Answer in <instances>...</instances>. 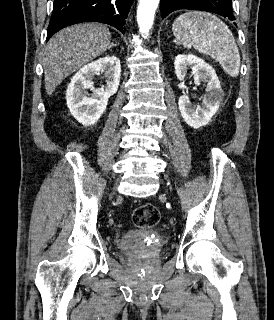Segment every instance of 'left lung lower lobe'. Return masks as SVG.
I'll use <instances>...</instances> for the list:
<instances>
[{"mask_svg":"<svg viewBox=\"0 0 274 320\" xmlns=\"http://www.w3.org/2000/svg\"><path fill=\"white\" fill-rule=\"evenodd\" d=\"M179 9L208 11L235 20L231 0H161L160 12L163 19Z\"/></svg>","mask_w":274,"mask_h":320,"instance_id":"1","label":"left lung lower lobe"}]
</instances>
